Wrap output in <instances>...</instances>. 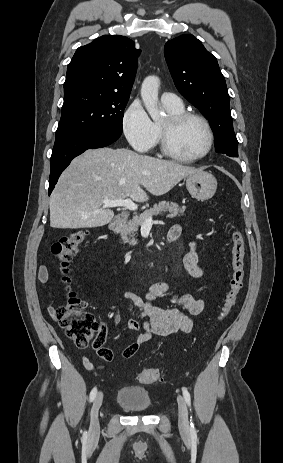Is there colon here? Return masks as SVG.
Wrapping results in <instances>:
<instances>
[{"label":"colon","mask_w":283,"mask_h":463,"mask_svg":"<svg viewBox=\"0 0 283 463\" xmlns=\"http://www.w3.org/2000/svg\"><path fill=\"white\" fill-rule=\"evenodd\" d=\"M87 233L78 230L59 238L53 246L52 252L58 260L62 282L66 285L68 298L55 312V318L77 346L85 347L92 343L97 355L107 361L113 359L112 352L103 346L106 334L105 327L94 313L86 308L84 301L79 298L69 287V265L77 253L78 248L84 243ZM232 274L229 290L217 317L218 323L224 321L234 308L237 297L243 287L245 267V244L242 232L232 229ZM132 352L136 349L132 348ZM137 379L143 384H153L162 380L161 372L155 368L142 370L137 374Z\"/></svg>","instance_id":"1"}]
</instances>
